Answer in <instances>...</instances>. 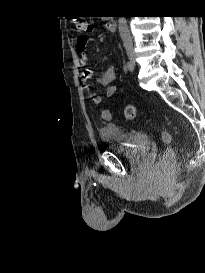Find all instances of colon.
Instances as JSON below:
<instances>
[{"label":"colon","mask_w":205,"mask_h":273,"mask_svg":"<svg viewBox=\"0 0 205 273\" xmlns=\"http://www.w3.org/2000/svg\"><path fill=\"white\" fill-rule=\"evenodd\" d=\"M74 28L77 32H84V31H89L92 28V25L89 21H87L84 18L77 17L74 19ZM124 115L126 119L128 120H134L137 116L136 112V107L132 104H128L124 108ZM103 117L104 119L108 120L110 119L111 115L108 110L103 111ZM156 125L155 123H153ZM162 132V139L166 144H169L172 140V136L169 131L165 129H161ZM175 158H176V153L174 149L169 148L167 151L164 153L162 160L159 163L158 170L161 172L163 175L171 172L174 164H175Z\"/></svg>","instance_id":"5ec220e1"}]
</instances>
